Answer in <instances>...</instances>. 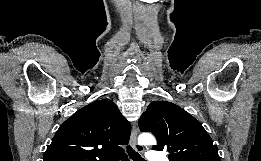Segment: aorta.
I'll return each mask as SVG.
<instances>
[{
  "mask_svg": "<svg viewBox=\"0 0 261 161\" xmlns=\"http://www.w3.org/2000/svg\"><path fill=\"white\" fill-rule=\"evenodd\" d=\"M138 142L142 145H154L156 140L153 135L149 133H143L139 136Z\"/></svg>",
  "mask_w": 261,
  "mask_h": 161,
  "instance_id": "1",
  "label": "aorta"
}]
</instances>
